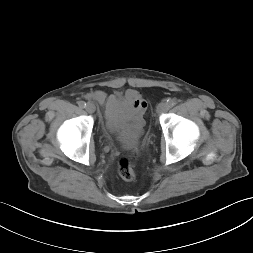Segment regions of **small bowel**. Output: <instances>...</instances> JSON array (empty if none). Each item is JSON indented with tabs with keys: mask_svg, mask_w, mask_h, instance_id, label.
<instances>
[{
	"mask_svg": "<svg viewBox=\"0 0 253 253\" xmlns=\"http://www.w3.org/2000/svg\"><path fill=\"white\" fill-rule=\"evenodd\" d=\"M88 98L96 101L104 109L107 126L116 130L125 122L137 123L142 119L147 104L142 94L134 89H129L124 95H108L104 91H94Z\"/></svg>",
	"mask_w": 253,
	"mask_h": 253,
	"instance_id": "1",
	"label": "small bowel"
}]
</instances>
